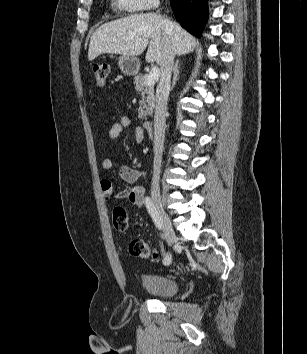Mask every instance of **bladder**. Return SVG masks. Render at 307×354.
Segmentation results:
<instances>
[{
  "instance_id": "1",
  "label": "bladder",
  "mask_w": 307,
  "mask_h": 354,
  "mask_svg": "<svg viewBox=\"0 0 307 354\" xmlns=\"http://www.w3.org/2000/svg\"><path fill=\"white\" fill-rule=\"evenodd\" d=\"M142 284L147 293L159 298H170L179 291L178 281L165 274H145L142 276Z\"/></svg>"
}]
</instances>
